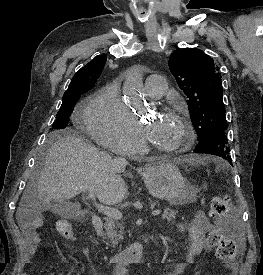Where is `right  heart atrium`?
<instances>
[{"label":"right heart atrium","instance_id":"obj_1","mask_svg":"<svg viewBox=\"0 0 263 275\" xmlns=\"http://www.w3.org/2000/svg\"><path fill=\"white\" fill-rule=\"evenodd\" d=\"M84 124L94 140L111 151L127 154L142 145L141 128L115 87H106L91 98Z\"/></svg>","mask_w":263,"mask_h":275}]
</instances>
